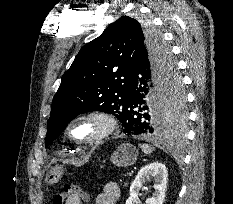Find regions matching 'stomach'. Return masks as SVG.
Here are the masks:
<instances>
[{"instance_id": "obj_1", "label": "stomach", "mask_w": 233, "mask_h": 204, "mask_svg": "<svg viewBox=\"0 0 233 204\" xmlns=\"http://www.w3.org/2000/svg\"><path fill=\"white\" fill-rule=\"evenodd\" d=\"M138 150L129 143L121 144L111 155L110 161L117 167H128L136 163ZM63 175V168L60 165L50 167L46 172L45 182L47 185L57 183Z\"/></svg>"}]
</instances>
